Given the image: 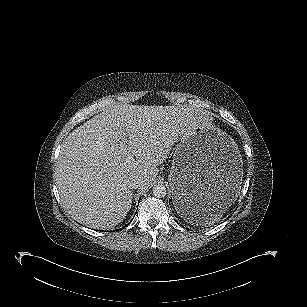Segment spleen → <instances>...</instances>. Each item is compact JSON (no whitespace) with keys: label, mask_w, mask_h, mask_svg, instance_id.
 Wrapping results in <instances>:
<instances>
[{"label":"spleen","mask_w":307,"mask_h":307,"mask_svg":"<svg viewBox=\"0 0 307 307\" xmlns=\"http://www.w3.org/2000/svg\"><path fill=\"white\" fill-rule=\"evenodd\" d=\"M223 213L224 210H220L215 213L203 211L201 213H197V215H195L190 222H194L201 226H210L213 225L215 222H218L221 219Z\"/></svg>","instance_id":"3e777b00"}]
</instances>
